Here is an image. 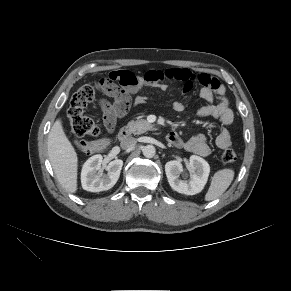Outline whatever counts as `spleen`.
<instances>
[{
    "mask_svg": "<svg viewBox=\"0 0 291 291\" xmlns=\"http://www.w3.org/2000/svg\"><path fill=\"white\" fill-rule=\"evenodd\" d=\"M234 174V170L227 168L217 171L212 177L210 187L205 195V200L212 201L220 197L230 186Z\"/></svg>",
    "mask_w": 291,
    "mask_h": 291,
    "instance_id": "spleen-1",
    "label": "spleen"
}]
</instances>
